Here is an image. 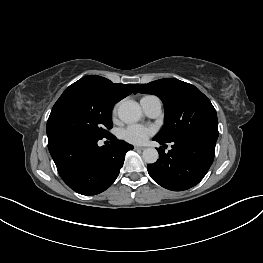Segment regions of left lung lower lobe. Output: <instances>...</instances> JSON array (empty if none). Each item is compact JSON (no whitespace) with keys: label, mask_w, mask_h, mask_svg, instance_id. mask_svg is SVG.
Here are the masks:
<instances>
[{"label":"left lung lower lobe","mask_w":263,"mask_h":263,"mask_svg":"<svg viewBox=\"0 0 263 263\" xmlns=\"http://www.w3.org/2000/svg\"><path fill=\"white\" fill-rule=\"evenodd\" d=\"M164 144L166 142L153 138ZM172 149L165 153L158 149L159 159L148 164L152 179L162 187L182 191L198 184L209 170L215 153L216 141L205 138H179L173 141Z\"/></svg>","instance_id":"obj_1"}]
</instances>
